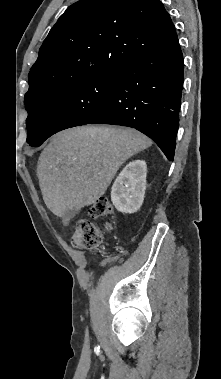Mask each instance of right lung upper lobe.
I'll use <instances>...</instances> for the list:
<instances>
[{"mask_svg": "<svg viewBox=\"0 0 221 379\" xmlns=\"http://www.w3.org/2000/svg\"><path fill=\"white\" fill-rule=\"evenodd\" d=\"M177 38L159 0H81L59 17L29 72L28 103L73 80L123 66Z\"/></svg>", "mask_w": 221, "mask_h": 379, "instance_id": "cb5924a9", "label": "right lung upper lobe"}]
</instances>
